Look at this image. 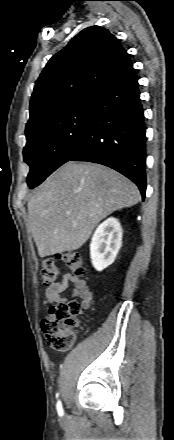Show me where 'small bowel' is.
Listing matches in <instances>:
<instances>
[{
    "mask_svg": "<svg viewBox=\"0 0 174 440\" xmlns=\"http://www.w3.org/2000/svg\"><path fill=\"white\" fill-rule=\"evenodd\" d=\"M71 285V295L65 296V291ZM80 297L82 299L81 306L87 309L90 306L92 294L88 284L84 279L65 273L62 279L45 289L43 303L45 306L50 304L57 305L67 303L71 298Z\"/></svg>",
    "mask_w": 174,
    "mask_h": 440,
    "instance_id": "small-bowel-1",
    "label": "small bowel"
}]
</instances>
